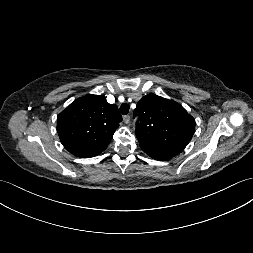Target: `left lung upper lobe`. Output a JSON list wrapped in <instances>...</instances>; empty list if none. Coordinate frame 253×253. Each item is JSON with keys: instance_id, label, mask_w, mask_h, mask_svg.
Listing matches in <instances>:
<instances>
[{"instance_id": "left-lung-upper-lobe-1", "label": "left lung upper lobe", "mask_w": 253, "mask_h": 253, "mask_svg": "<svg viewBox=\"0 0 253 253\" xmlns=\"http://www.w3.org/2000/svg\"><path fill=\"white\" fill-rule=\"evenodd\" d=\"M136 136L145 152L175 156L182 152L195 132V120L177 102L148 94L137 104Z\"/></svg>"}]
</instances>
